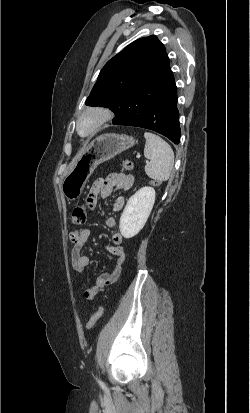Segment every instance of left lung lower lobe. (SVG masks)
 <instances>
[{"label": "left lung lower lobe", "mask_w": 250, "mask_h": 413, "mask_svg": "<svg viewBox=\"0 0 250 413\" xmlns=\"http://www.w3.org/2000/svg\"><path fill=\"white\" fill-rule=\"evenodd\" d=\"M115 125L135 126L156 131L175 144L180 141L177 87L170 70L153 83L140 85L117 110Z\"/></svg>", "instance_id": "left-lung-lower-lobe-1"}]
</instances>
